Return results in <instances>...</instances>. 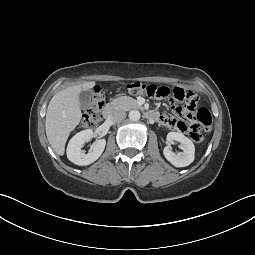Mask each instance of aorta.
<instances>
[{
	"label": "aorta",
	"instance_id": "1",
	"mask_svg": "<svg viewBox=\"0 0 255 255\" xmlns=\"http://www.w3.org/2000/svg\"><path fill=\"white\" fill-rule=\"evenodd\" d=\"M129 119L132 121H138L140 119V112L137 110H132L129 112Z\"/></svg>",
	"mask_w": 255,
	"mask_h": 255
}]
</instances>
